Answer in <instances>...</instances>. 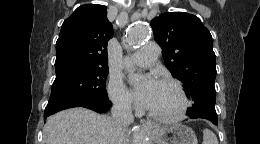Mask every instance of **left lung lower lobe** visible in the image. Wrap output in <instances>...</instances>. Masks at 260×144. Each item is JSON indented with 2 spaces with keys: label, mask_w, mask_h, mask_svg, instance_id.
Segmentation results:
<instances>
[{
  "label": "left lung lower lobe",
  "mask_w": 260,
  "mask_h": 144,
  "mask_svg": "<svg viewBox=\"0 0 260 144\" xmlns=\"http://www.w3.org/2000/svg\"><path fill=\"white\" fill-rule=\"evenodd\" d=\"M191 119H207L209 121H211L213 124L218 125V118H217V114L214 113H202L198 116H191Z\"/></svg>",
  "instance_id": "0a47b994"
}]
</instances>
